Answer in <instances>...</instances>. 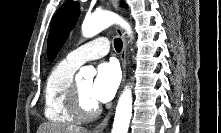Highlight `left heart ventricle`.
I'll use <instances>...</instances> for the list:
<instances>
[{"label":"left heart ventricle","instance_id":"left-heart-ventricle-1","mask_svg":"<svg viewBox=\"0 0 221 133\" xmlns=\"http://www.w3.org/2000/svg\"><path fill=\"white\" fill-rule=\"evenodd\" d=\"M77 85L80 89L86 107L91 108L95 103L91 97L92 81L91 80L80 81L77 83Z\"/></svg>","mask_w":221,"mask_h":133}]
</instances>
